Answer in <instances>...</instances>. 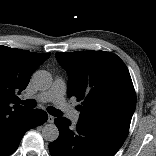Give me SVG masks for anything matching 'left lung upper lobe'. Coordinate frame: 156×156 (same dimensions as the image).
Instances as JSON below:
<instances>
[{
  "label": "left lung upper lobe",
  "instance_id": "1",
  "mask_svg": "<svg viewBox=\"0 0 156 156\" xmlns=\"http://www.w3.org/2000/svg\"><path fill=\"white\" fill-rule=\"evenodd\" d=\"M68 74V95L81 110L79 123L113 130L127 137L136 107L129 71L115 54L105 51L56 53Z\"/></svg>",
  "mask_w": 156,
  "mask_h": 156
}]
</instances>
